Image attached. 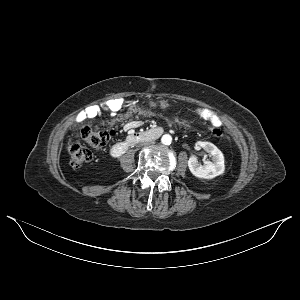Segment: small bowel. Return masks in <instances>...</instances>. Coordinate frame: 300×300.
Returning <instances> with one entry per match:
<instances>
[{
	"mask_svg": "<svg viewBox=\"0 0 300 300\" xmlns=\"http://www.w3.org/2000/svg\"><path fill=\"white\" fill-rule=\"evenodd\" d=\"M195 113H196V115H198L206 120H209L215 126H218L221 123L219 118L215 114H213L205 109H201V108L195 109ZM101 115H102V109L99 106H96V105L89 106L88 108H86L85 110H83L82 112H80L77 115L76 122L82 123V122L86 121L87 119L99 117ZM139 126H140L139 121H130L127 123L126 128L132 129V128H137Z\"/></svg>",
	"mask_w": 300,
	"mask_h": 300,
	"instance_id": "small-bowel-1",
	"label": "small bowel"
}]
</instances>
